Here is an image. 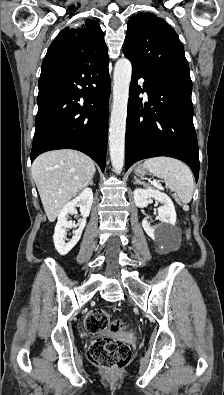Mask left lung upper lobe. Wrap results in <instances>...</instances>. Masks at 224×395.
<instances>
[{"instance_id": "1", "label": "left lung upper lobe", "mask_w": 224, "mask_h": 395, "mask_svg": "<svg viewBox=\"0 0 224 395\" xmlns=\"http://www.w3.org/2000/svg\"><path fill=\"white\" fill-rule=\"evenodd\" d=\"M123 53L133 66L191 82L182 42L174 29L154 14L130 18Z\"/></svg>"}]
</instances>
